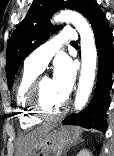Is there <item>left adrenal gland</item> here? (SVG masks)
I'll return each mask as SVG.
<instances>
[{
    "label": "left adrenal gland",
    "instance_id": "left-adrenal-gland-1",
    "mask_svg": "<svg viewBox=\"0 0 114 156\" xmlns=\"http://www.w3.org/2000/svg\"><path fill=\"white\" fill-rule=\"evenodd\" d=\"M83 140H80V142H82ZM75 145V144H74ZM68 149H70V147H68ZM64 156H66V155H64Z\"/></svg>",
    "mask_w": 114,
    "mask_h": 156
}]
</instances>
